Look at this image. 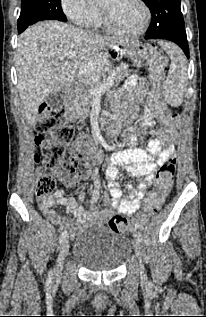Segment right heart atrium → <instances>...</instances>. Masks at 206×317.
<instances>
[{
    "label": "right heart atrium",
    "instance_id": "1",
    "mask_svg": "<svg viewBox=\"0 0 206 317\" xmlns=\"http://www.w3.org/2000/svg\"><path fill=\"white\" fill-rule=\"evenodd\" d=\"M61 7L66 17L81 27L92 26L98 15V8L89 0H61Z\"/></svg>",
    "mask_w": 206,
    "mask_h": 317
}]
</instances>
